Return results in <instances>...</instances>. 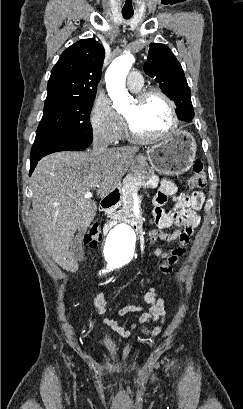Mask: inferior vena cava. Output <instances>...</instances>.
Listing matches in <instances>:
<instances>
[{"instance_id": "obj_1", "label": "inferior vena cava", "mask_w": 243, "mask_h": 409, "mask_svg": "<svg viewBox=\"0 0 243 409\" xmlns=\"http://www.w3.org/2000/svg\"><path fill=\"white\" fill-rule=\"evenodd\" d=\"M108 143L101 137H94L93 140V153L101 154L107 150Z\"/></svg>"}]
</instances>
